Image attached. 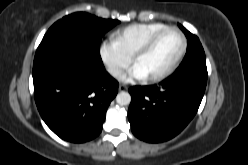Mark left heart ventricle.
I'll use <instances>...</instances> for the list:
<instances>
[{"mask_svg":"<svg viewBox=\"0 0 248 165\" xmlns=\"http://www.w3.org/2000/svg\"><path fill=\"white\" fill-rule=\"evenodd\" d=\"M181 45L179 34L175 31H168L157 40L145 55L136 61V64L141 66L147 77L156 75L174 61Z\"/></svg>","mask_w":248,"mask_h":165,"instance_id":"b2bd125f","label":"left heart ventricle"}]
</instances>
